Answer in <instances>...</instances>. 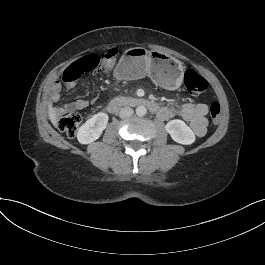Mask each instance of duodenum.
<instances>
[{"mask_svg": "<svg viewBox=\"0 0 265 265\" xmlns=\"http://www.w3.org/2000/svg\"><path fill=\"white\" fill-rule=\"evenodd\" d=\"M125 106H132V107L144 106L148 108L152 113L156 114L158 117H161L165 113L164 108L160 106L157 102L140 97L114 98L108 103L107 110L110 113H115Z\"/></svg>", "mask_w": 265, "mask_h": 265, "instance_id": "obj_1", "label": "duodenum"}]
</instances>
